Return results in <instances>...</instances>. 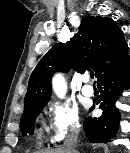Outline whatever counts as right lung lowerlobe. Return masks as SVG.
<instances>
[{"label": "right lung lower lobe", "mask_w": 130, "mask_h": 153, "mask_svg": "<svg viewBox=\"0 0 130 153\" xmlns=\"http://www.w3.org/2000/svg\"><path fill=\"white\" fill-rule=\"evenodd\" d=\"M97 85L100 95L96 98V105L102 109V116L93 119L89 117L84 121V131L92 143L106 142L117 133L120 114L115 102L122 91L130 86V56L127 55L120 63L103 73L97 79Z\"/></svg>", "instance_id": "right-lung-lower-lobe-1"}]
</instances>
